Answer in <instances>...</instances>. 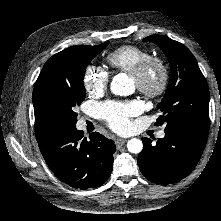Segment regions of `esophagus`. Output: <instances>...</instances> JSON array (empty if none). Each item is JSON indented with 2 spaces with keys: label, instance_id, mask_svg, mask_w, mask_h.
I'll return each mask as SVG.
<instances>
[{
  "label": "esophagus",
  "instance_id": "obj_1",
  "mask_svg": "<svg viewBox=\"0 0 221 221\" xmlns=\"http://www.w3.org/2000/svg\"><path fill=\"white\" fill-rule=\"evenodd\" d=\"M126 143V140L125 139H116L115 140V144H116V147L119 148L121 146H123L124 144Z\"/></svg>",
  "mask_w": 221,
  "mask_h": 221
}]
</instances>
